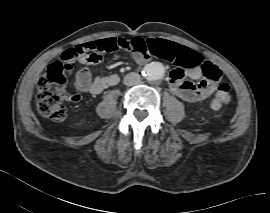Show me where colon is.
Listing matches in <instances>:
<instances>
[{"label":"colon","instance_id":"colon-1","mask_svg":"<svg viewBox=\"0 0 270 213\" xmlns=\"http://www.w3.org/2000/svg\"><path fill=\"white\" fill-rule=\"evenodd\" d=\"M114 50L126 49L134 54H142L148 57V51L152 45L141 37L130 39H115ZM82 50L76 46L69 48L62 54V61H55L48 65L46 71L41 75L36 88V106L39 113L53 121H63L67 116L65 102L75 101L76 95L67 92L66 83L73 76L72 63L76 61ZM201 70L204 78L216 85V91L211 99V106L214 110H219L230 102V85L227 82H220L218 68L211 62L202 63Z\"/></svg>","mask_w":270,"mask_h":213}]
</instances>
